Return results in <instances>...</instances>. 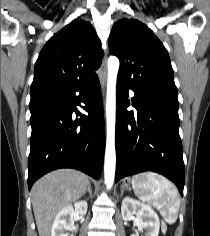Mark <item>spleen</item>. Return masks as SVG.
Masks as SVG:
<instances>
[{
    "label": "spleen",
    "instance_id": "3e777b00",
    "mask_svg": "<svg viewBox=\"0 0 210 236\" xmlns=\"http://www.w3.org/2000/svg\"><path fill=\"white\" fill-rule=\"evenodd\" d=\"M132 187L138 197L150 203L168 224L176 222L180 207L177 189L166 178L153 173H142L132 177Z\"/></svg>",
    "mask_w": 210,
    "mask_h": 236
}]
</instances>
